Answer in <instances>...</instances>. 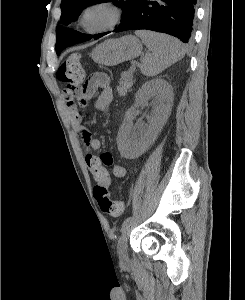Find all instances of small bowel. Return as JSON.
I'll list each match as a JSON object with an SVG mask.
<instances>
[{"instance_id":"c3829d8e","label":"small bowel","mask_w":245,"mask_h":300,"mask_svg":"<svg viewBox=\"0 0 245 300\" xmlns=\"http://www.w3.org/2000/svg\"><path fill=\"white\" fill-rule=\"evenodd\" d=\"M76 100V103L73 100L68 101L67 105L78 139L85 151L86 165L95 178V187L108 190L111 188L110 168L108 167L112 168V174L116 178L125 177L127 170L123 165L115 164L110 153L105 152L100 155L94 153L101 149L102 141L93 137L83 124L79 107L86 106L91 100H95V107L98 110L103 111L110 107L113 102V91L109 76L102 72L92 74L76 96Z\"/></svg>"}]
</instances>
